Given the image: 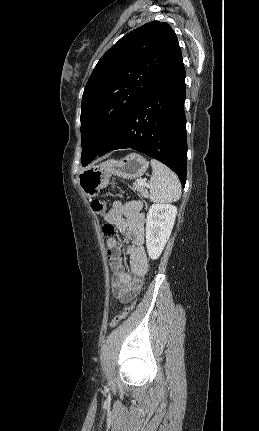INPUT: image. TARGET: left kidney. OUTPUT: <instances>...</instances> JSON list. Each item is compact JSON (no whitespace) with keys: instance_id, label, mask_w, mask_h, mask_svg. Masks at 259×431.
Returning <instances> with one entry per match:
<instances>
[{"instance_id":"1","label":"left kidney","mask_w":259,"mask_h":431,"mask_svg":"<svg viewBox=\"0 0 259 431\" xmlns=\"http://www.w3.org/2000/svg\"><path fill=\"white\" fill-rule=\"evenodd\" d=\"M177 208L170 204H153L146 220V247L151 259H157L167 243L175 218Z\"/></svg>"}]
</instances>
